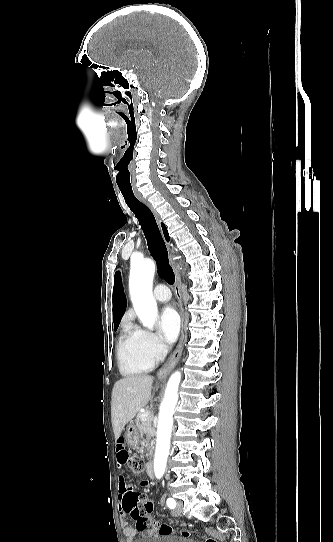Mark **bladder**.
<instances>
[{
	"label": "bladder",
	"instance_id": "bladder-1",
	"mask_svg": "<svg viewBox=\"0 0 333 542\" xmlns=\"http://www.w3.org/2000/svg\"><path fill=\"white\" fill-rule=\"evenodd\" d=\"M147 540H141L140 542H195L187 537L181 535H151L146 537Z\"/></svg>",
	"mask_w": 333,
	"mask_h": 542
}]
</instances>
